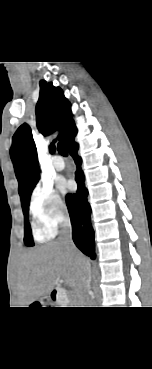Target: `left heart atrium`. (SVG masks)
<instances>
[{
  "instance_id": "1",
  "label": "left heart atrium",
  "mask_w": 152,
  "mask_h": 369,
  "mask_svg": "<svg viewBox=\"0 0 152 369\" xmlns=\"http://www.w3.org/2000/svg\"><path fill=\"white\" fill-rule=\"evenodd\" d=\"M59 188L61 189V191L67 192L70 188V183L68 181L62 179L59 182Z\"/></svg>"
}]
</instances>
